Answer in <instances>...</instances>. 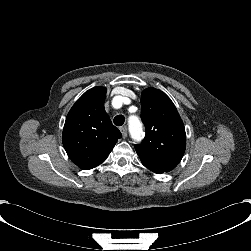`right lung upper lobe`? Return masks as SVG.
Here are the masks:
<instances>
[{
  "label": "right lung upper lobe",
  "instance_id": "obj_1",
  "mask_svg": "<svg viewBox=\"0 0 251 251\" xmlns=\"http://www.w3.org/2000/svg\"><path fill=\"white\" fill-rule=\"evenodd\" d=\"M106 88L85 92L69 111L63 145L69 158L82 169H92L104 162L117 140L122 137L105 112Z\"/></svg>",
  "mask_w": 251,
  "mask_h": 251
}]
</instances>
